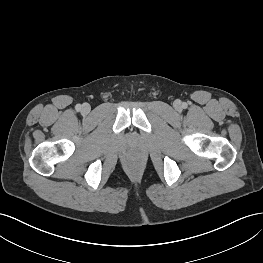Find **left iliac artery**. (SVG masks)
<instances>
[{"label":"left iliac artery","mask_w":263,"mask_h":263,"mask_svg":"<svg viewBox=\"0 0 263 263\" xmlns=\"http://www.w3.org/2000/svg\"><path fill=\"white\" fill-rule=\"evenodd\" d=\"M187 107V105L186 104H183V108H186Z\"/></svg>","instance_id":"44dca946"}]
</instances>
